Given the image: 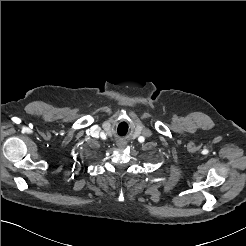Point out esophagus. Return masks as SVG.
I'll use <instances>...</instances> for the list:
<instances>
[{
    "mask_svg": "<svg viewBox=\"0 0 246 246\" xmlns=\"http://www.w3.org/2000/svg\"><path fill=\"white\" fill-rule=\"evenodd\" d=\"M123 145H124V144L121 143V144H119V147H122Z\"/></svg>",
    "mask_w": 246,
    "mask_h": 246,
    "instance_id": "34e87169",
    "label": "esophagus"
}]
</instances>
